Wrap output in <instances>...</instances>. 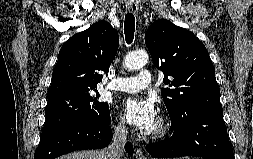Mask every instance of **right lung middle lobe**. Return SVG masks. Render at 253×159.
<instances>
[{
	"label": "right lung middle lobe",
	"mask_w": 253,
	"mask_h": 159,
	"mask_svg": "<svg viewBox=\"0 0 253 159\" xmlns=\"http://www.w3.org/2000/svg\"><path fill=\"white\" fill-rule=\"evenodd\" d=\"M94 91L96 96L93 95ZM98 97L97 90H92L48 98L42 137L77 121H104L109 114V106L98 101Z\"/></svg>",
	"instance_id": "obj_1"
}]
</instances>
